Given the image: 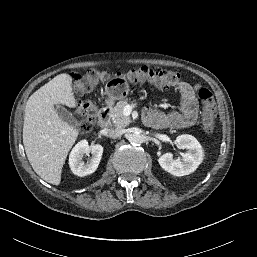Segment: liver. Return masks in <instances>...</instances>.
<instances>
[{
  "label": "liver",
  "instance_id": "1",
  "mask_svg": "<svg viewBox=\"0 0 257 257\" xmlns=\"http://www.w3.org/2000/svg\"><path fill=\"white\" fill-rule=\"evenodd\" d=\"M75 108L72 77L59 74L34 92L25 107L23 144L33 170L46 182L59 185L66 157L79 131L63 121L55 106Z\"/></svg>",
  "mask_w": 257,
  "mask_h": 257
}]
</instances>
